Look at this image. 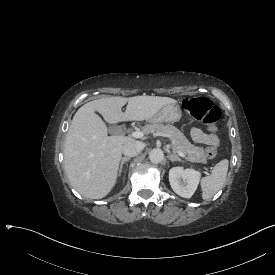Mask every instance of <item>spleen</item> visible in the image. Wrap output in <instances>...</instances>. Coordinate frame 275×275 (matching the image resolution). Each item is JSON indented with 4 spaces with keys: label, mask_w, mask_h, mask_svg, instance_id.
Returning a JSON list of instances; mask_svg holds the SVG:
<instances>
[{
    "label": "spleen",
    "mask_w": 275,
    "mask_h": 275,
    "mask_svg": "<svg viewBox=\"0 0 275 275\" xmlns=\"http://www.w3.org/2000/svg\"><path fill=\"white\" fill-rule=\"evenodd\" d=\"M229 161L223 159L213 168L212 173L202 180V198H212L225 183L228 172Z\"/></svg>",
    "instance_id": "obj_1"
}]
</instances>
